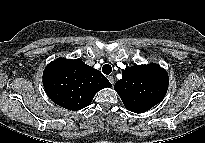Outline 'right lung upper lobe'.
<instances>
[{"label": "right lung upper lobe", "mask_w": 205, "mask_h": 143, "mask_svg": "<svg viewBox=\"0 0 205 143\" xmlns=\"http://www.w3.org/2000/svg\"><path fill=\"white\" fill-rule=\"evenodd\" d=\"M43 85L54 103L73 111L85 108L99 90L112 86L99 70L81 59L65 58H58L47 65Z\"/></svg>", "instance_id": "right-lung-upper-lobe-1"}]
</instances>
